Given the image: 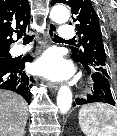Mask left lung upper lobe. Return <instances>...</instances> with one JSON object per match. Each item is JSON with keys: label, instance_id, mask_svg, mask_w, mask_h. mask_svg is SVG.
Returning <instances> with one entry per match:
<instances>
[{"label": "left lung upper lobe", "instance_id": "obj_1", "mask_svg": "<svg viewBox=\"0 0 117 136\" xmlns=\"http://www.w3.org/2000/svg\"><path fill=\"white\" fill-rule=\"evenodd\" d=\"M65 3L72 9V16L76 24L79 44L72 46V55L75 61L84 67L91 68L94 72L108 76L106 65V53L102 41L99 18L90 0H53L56 3Z\"/></svg>", "mask_w": 117, "mask_h": 136}]
</instances>
